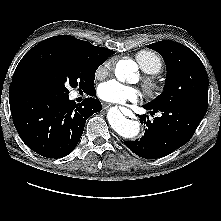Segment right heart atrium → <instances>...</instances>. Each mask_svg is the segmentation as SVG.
Returning a JSON list of instances; mask_svg holds the SVG:
<instances>
[{
  "label": "right heart atrium",
  "instance_id": "1",
  "mask_svg": "<svg viewBox=\"0 0 221 221\" xmlns=\"http://www.w3.org/2000/svg\"><path fill=\"white\" fill-rule=\"evenodd\" d=\"M111 66V62L110 61H107L105 62L103 65H101L98 70H97V74L98 75H102L104 74Z\"/></svg>",
  "mask_w": 221,
  "mask_h": 221
}]
</instances>
